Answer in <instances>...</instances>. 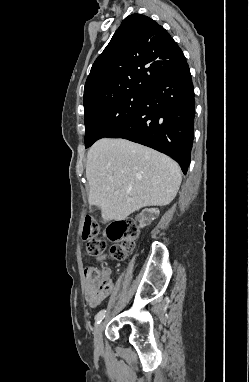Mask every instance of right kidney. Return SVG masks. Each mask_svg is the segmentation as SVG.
<instances>
[{
  "mask_svg": "<svg viewBox=\"0 0 249 382\" xmlns=\"http://www.w3.org/2000/svg\"><path fill=\"white\" fill-rule=\"evenodd\" d=\"M147 208V207H145ZM159 216V210L156 208L145 209L137 217V221L140 222V227L143 228L150 224L154 219Z\"/></svg>",
  "mask_w": 249,
  "mask_h": 382,
  "instance_id": "right-kidney-1",
  "label": "right kidney"
}]
</instances>
